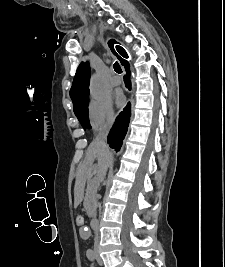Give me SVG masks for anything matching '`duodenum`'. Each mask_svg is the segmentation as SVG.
I'll list each match as a JSON object with an SVG mask.
<instances>
[{"label": "duodenum", "mask_w": 225, "mask_h": 267, "mask_svg": "<svg viewBox=\"0 0 225 267\" xmlns=\"http://www.w3.org/2000/svg\"><path fill=\"white\" fill-rule=\"evenodd\" d=\"M91 227L94 230H96L98 228V219L96 217H93L91 219Z\"/></svg>", "instance_id": "410a0bca"}]
</instances>
